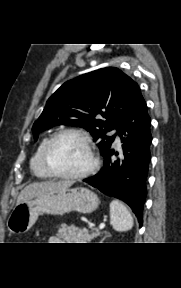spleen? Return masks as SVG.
I'll use <instances>...</instances> for the list:
<instances>
[{"label": "spleen", "instance_id": "1", "mask_svg": "<svg viewBox=\"0 0 181 288\" xmlns=\"http://www.w3.org/2000/svg\"><path fill=\"white\" fill-rule=\"evenodd\" d=\"M110 223L115 231L124 232L133 227L134 221L129 210L118 200L110 203Z\"/></svg>", "mask_w": 181, "mask_h": 288}]
</instances>
